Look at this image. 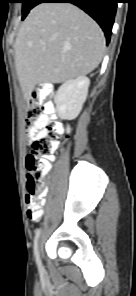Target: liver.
<instances>
[{"label": "liver", "mask_w": 136, "mask_h": 296, "mask_svg": "<svg viewBox=\"0 0 136 296\" xmlns=\"http://www.w3.org/2000/svg\"><path fill=\"white\" fill-rule=\"evenodd\" d=\"M14 49L20 87L29 97L36 85L62 83L92 72L103 58L105 37L78 7L41 3L22 23Z\"/></svg>", "instance_id": "obj_1"}]
</instances>
